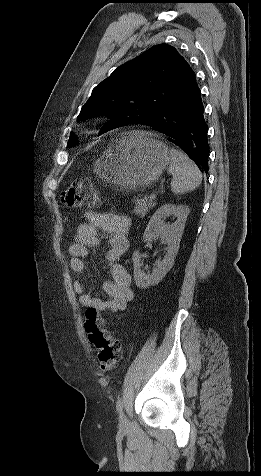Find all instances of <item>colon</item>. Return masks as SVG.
I'll list each match as a JSON object with an SVG mask.
<instances>
[{
  "label": "colon",
  "instance_id": "colon-1",
  "mask_svg": "<svg viewBox=\"0 0 261 476\" xmlns=\"http://www.w3.org/2000/svg\"><path fill=\"white\" fill-rule=\"evenodd\" d=\"M61 202L68 208L89 209L97 204L98 194L89 179L80 178L62 192ZM84 328L95 348L100 370L102 372L113 370L121 356L120 344L106 330L104 320L95 308L87 309Z\"/></svg>",
  "mask_w": 261,
  "mask_h": 476
}]
</instances>
